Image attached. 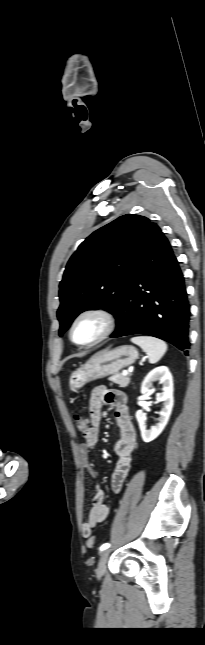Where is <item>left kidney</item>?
<instances>
[{
    "label": "left kidney",
    "instance_id": "obj_1",
    "mask_svg": "<svg viewBox=\"0 0 205 645\" xmlns=\"http://www.w3.org/2000/svg\"><path fill=\"white\" fill-rule=\"evenodd\" d=\"M158 380L163 384V391L157 394V400L163 402V408L159 412V422L148 430L146 429L145 423L146 413L143 410L136 412V419L144 442H151L162 433L169 421L174 404L173 378L166 366L157 367L147 374L141 385V394L146 395L150 393L152 383Z\"/></svg>",
    "mask_w": 205,
    "mask_h": 645
}]
</instances>
